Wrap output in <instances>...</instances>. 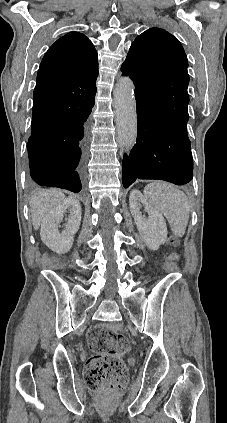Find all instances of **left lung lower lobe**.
Wrapping results in <instances>:
<instances>
[{
  "label": "left lung lower lobe",
  "instance_id": "left-lung-lower-lobe-1",
  "mask_svg": "<svg viewBox=\"0 0 227 423\" xmlns=\"http://www.w3.org/2000/svg\"><path fill=\"white\" fill-rule=\"evenodd\" d=\"M135 97L138 134L130 154L123 157V186L128 188L136 179L188 183L193 178L188 111L157 112L143 103L140 94Z\"/></svg>",
  "mask_w": 227,
  "mask_h": 423
}]
</instances>
